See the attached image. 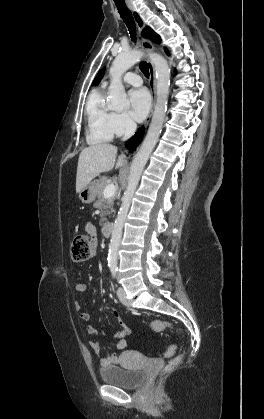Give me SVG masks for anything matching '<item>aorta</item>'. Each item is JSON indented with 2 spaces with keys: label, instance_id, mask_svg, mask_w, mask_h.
<instances>
[{
  "label": "aorta",
  "instance_id": "1",
  "mask_svg": "<svg viewBox=\"0 0 264 419\" xmlns=\"http://www.w3.org/2000/svg\"><path fill=\"white\" fill-rule=\"evenodd\" d=\"M143 56L140 51H131L128 53H120L112 63L110 68L111 83L109 86L108 106L113 110H121L128 105L125 88L123 86L121 77L125 71L137 63ZM150 61L154 66L157 78V100L153 113L152 121L150 123L147 135L135 155L128 177V185L122 197L121 207L119 209L117 218L114 222L111 240L109 244L108 266L116 268L118 247L121 241L122 230L126 216L137 188L143 168L154 149L165 118L167 110V102L170 87V68L164 57L157 53L149 55Z\"/></svg>",
  "mask_w": 264,
  "mask_h": 419
}]
</instances>
